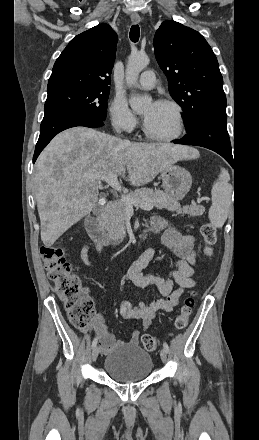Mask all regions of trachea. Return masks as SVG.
<instances>
[{"label": "trachea", "mask_w": 259, "mask_h": 440, "mask_svg": "<svg viewBox=\"0 0 259 440\" xmlns=\"http://www.w3.org/2000/svg\"><path fill=\"white\" fill-rule=\"evenodd\" d=\"M140 36V28L138 25H132L130 29L129 37L132 42H137Z\"/></svg>", "instance_id": "1"}]
</instances>
